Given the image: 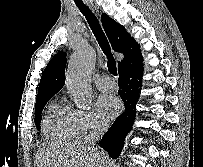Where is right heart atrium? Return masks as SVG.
I'll use <instances>...</instances> for the list:
<instances>
[{
	"mask_svg": "<svg viewBox=\"0 0 203 167\" xmlns=\"http://www.w3.org/2000/svg\"><path fill=\"white\" fill-rule=\"evenodd\" d=\"M71 113L77 134L83 135L105 127L104 122L91 110L71 109Z\"/></svg>",
	"mask_w": 203,
	"mask_h": 167,
	"instance_id": "d8ad5b80",
	"label": "right heart atrium"
}]
</instances>
